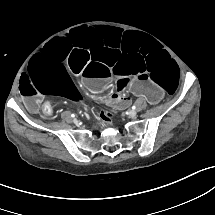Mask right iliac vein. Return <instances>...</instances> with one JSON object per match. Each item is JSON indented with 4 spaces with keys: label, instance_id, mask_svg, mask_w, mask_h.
Listing matches in <instances>:
<instances>
[{
    "label": "right iliac vein",
    "instance_id": "right-iliac-vein-1",
    "mask_svg": "<svg viewBox=\"0 0 215 215\" xmlns=\"http://www.w3.org/2000/svg\"><path fill=\"white\" fill-rule=\"evenodd\" d=\"M73 122L75 123V124H78V120L77 119H75V120H73Z\"/></svg>",
    "mask_w": 215,
    "mask_h": 215
}]
</instances>
